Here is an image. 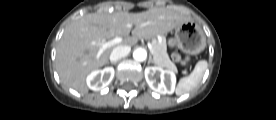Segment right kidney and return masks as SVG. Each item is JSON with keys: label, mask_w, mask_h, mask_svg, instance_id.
<instances>
[{"label": "right kidney", "mask_w": 276, "mask_h": 120, "mask_svg": "<svg viewBox=\"0 0 276 120\" xmlns=\"http://www.w3.org/2000/svg\"><path fill=\"white\" fill-rule=\"evenodd\" d=\"M114 73L113 67L95 70L88 75L86 79L87 85L91 90L100 91L110 84L114 77Z\"/></svg>", "instance_id": "right-kidney-1"}]
</instances>
